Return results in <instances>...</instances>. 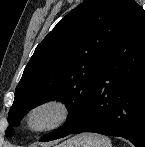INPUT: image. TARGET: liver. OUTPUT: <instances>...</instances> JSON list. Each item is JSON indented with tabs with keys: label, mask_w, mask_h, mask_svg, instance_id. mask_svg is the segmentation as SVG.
Returning <instances> with one entry per match:
<instances>
[{
	"label": "liver",
	"mask_w": 145,
	"mask_h": 147,
	"mask_svg": "<svg viewBox=\"0 0 145 147\" xmlns=\"http://www.w3.org/2000/svg\"><path fill=\"white\" fill-rule=\"evenodd\" d=\"M70 141H67L65 143H62L61 145H59L60 147H68Z\"/></svg>",
	"instance_id": "liver-1"
}]
</instances>
